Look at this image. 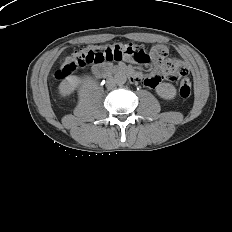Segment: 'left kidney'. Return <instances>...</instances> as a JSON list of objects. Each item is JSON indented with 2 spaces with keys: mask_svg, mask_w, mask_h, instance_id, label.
<instances>
[{
  "mask_svg": "<svg viewBox=\"0 0 232 232\" xmlns=\"http://www.w3.org/2000/svg\"><path fill=\"white\" fill-rule=\"evenodd\" d=\"M157 94L166 100L174 99L176 96V88L170 83H161L156 87Z\"/></svg>",
  "mask_w": 232,
  "mask_h": 232,
  "instance_id": "left-kidney-1",
  "label": "left kidney"
}]
</instances>
